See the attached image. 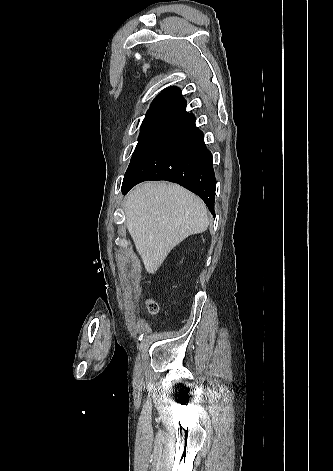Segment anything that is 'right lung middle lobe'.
I'll use <instances>...</instances> for the list:
<instances>
[{"instance_id": "1", "label": "right lung middle lobe", "mask_w": 333, "mask_h": 471, "mask_svg": "<svg viewBox=\"0 0 333 471\" xmlns=\"http://www.w3.org/2000/svg\"><path fill=\"white\" fill-rule=\"evenodd\" d=\"M176 121L163 118H145L141 125L138 144L133 152L129 166L138 158L144 149L162 132L172 126Z\"/></svg>"}]
</instances>
